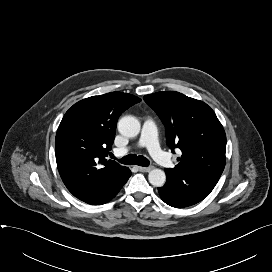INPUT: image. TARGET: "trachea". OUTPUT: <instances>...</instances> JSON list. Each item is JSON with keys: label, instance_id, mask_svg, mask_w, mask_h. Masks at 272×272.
I'll list each match as a JSON object with an SVG mask.
<instances>
[{"label": "trachea", "instance_id": "obj_1", "mask_svg": "<svg viewBox=\"0 0 272 272\" xmlns=\"http://www.w3.org/2000/svg\"><path fill=\"white\" fill-rule=\"evenodd\" d=\"M114 159H116L114 157ZM120 163L125 165H139L143 167L149 166L150 162L149 160L144 156H137L135 154H129L127 156H124L123 158L119 159Z\"/></svg>", "mask_w": 272, "mask_h": 272}]
</instances>
